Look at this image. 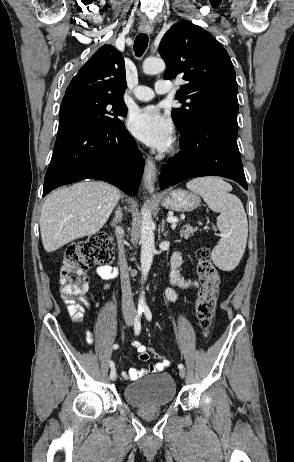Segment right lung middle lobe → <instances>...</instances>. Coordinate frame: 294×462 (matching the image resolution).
Returning <instances> with one entry per match:
<instances>
[{"instance_id":"obj_1","label":"right lung middle lobe","mask_w":294,"mask_h":462,"mask_svg":"<svg viewBox=\"0 0 294 462\" xmlns=\"http://www.w3.org/2000/svg\"><path fill=\"white\" fill-rule=\"evenodd\" d=\"M127 107L121 98L100 95H74L63 98L58 134L81 128L111 126L125 116Z\"/></svg>"}]
</instances>
